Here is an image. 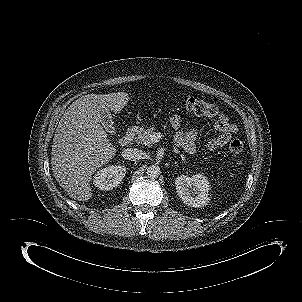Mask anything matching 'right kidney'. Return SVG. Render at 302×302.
Listing matches in <instances>:
<instances>
[{"mask_svg":"<svg viewBox=\"0 0 302 302\" xmlns=\"http://www.w3.org/2000/svg\"><path fill=\"white\" fill-rule=\"evenodd\" d=\"M115 173V177L109 180L111 174ZM126 173V168L119 166L114 170L103 169L98 171L94 176V185L101 190H110L116 187L124 178Z\"/></svg>","mask_w":302,"mask_h":302,"instance_id":"1","label":"right kidney"}]
</instances>
